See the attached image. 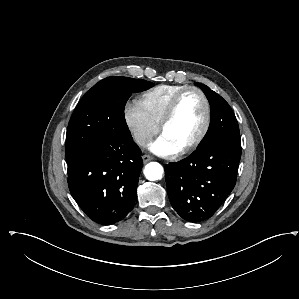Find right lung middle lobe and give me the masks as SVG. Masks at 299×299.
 Wrapping results in <instances>:
<instances>
[{
  "mask_svg": "<svg viewBox=\"0 0 299 299\" xmlns=\"http://www.w3.org/2000/svg\"><path fill=\"white\" fill-rule=\"evenodd\" d=\"M152 86L151 82L128 77H108L95 84L78 103L69 121L67 164L102 144L130 139L125 104L132 93Z\"/></svg>",
  "mask_w": 299,
  "mask_h": 299,
  "instance_id": "dd1d6c3e",
  "label": "right lung middle lobe"
}]
</instances>
